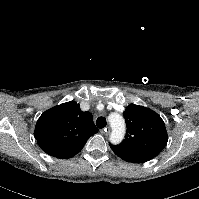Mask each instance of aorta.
Segmentation results:
<instances>
[{
  "mask_svg": "<svg viewBox=\"0 0 199 199\" xmlns=\"http://www.w3.org/2000/svg\"><path fill=\"white\" fill-rule=\"evenodd\" d=\"M108 121L112 128L110 141L113 144H119L123 140L126 131L124 118L118 113H111L108 116Z\"/></svg>",
  "mask_w": 199,
  "mask_h": 199,
  "instance_id": "762f6f07",
  "label": "aorta"
}]
</instances>
